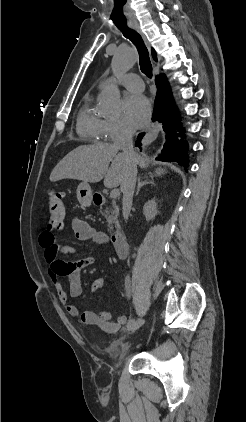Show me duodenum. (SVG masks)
Instances as JSON below:
<instances>
[{
	"label": "duodenum",
	"mask_w": 246,
	"mask_h": 422,
	"mask_svg": "<svg viewBox=\"0 0 246 422\" xmlns=\"http://www.w3.org/2000/svg\"><path fill=\"white\" fill-rule=\"evenodd\" d=\"M96 204H101V198L95 200ZM111 243L116 251L118 257L123 258L127 255L128 245L124 234L117 230L113 232L110 236Z\"/></svg>",
	"instance_id": "1"
}]
</instances>
